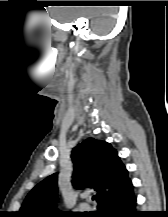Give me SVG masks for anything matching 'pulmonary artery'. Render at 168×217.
<instances>
[{
    "instance_id": "obj_1",
    "label": "pulmonary artery",
    "mask_w": 168,
    "mask_h": 217,
    "mask_svg": "<svg viewBox=\"0 0 168 217\" xmlns=\"http://www.w3.org/2000/svg\"><path fill=\"white\" fill-rule=\"evenodd\" d=\"M80 208L81 209H88V205L87 204H85V203H82L81 205H80Z\"/></svg>"
}]
</instances>
